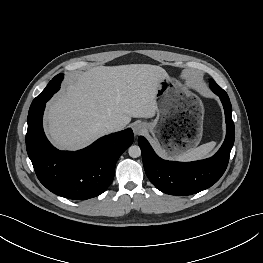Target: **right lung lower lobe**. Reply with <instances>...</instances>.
I'll return each mask as SVG.
<instances>
[{"label":"right lung lower lobe","instance_id":"obj_1","mask_svg":"<svg viewBox=\"0 0 263 263\" xmlns=\"http://www.w3.org/2000/svg\"><path fill=\"white\" fill-rule=\"evenodd\" d=\"M51 95L29 110L26 148L40 182L59 196L85 200L103 193L114 178L115 165L133 143L132 130L104 136L85 149L68 152L53 147L42 126L43 112Z\"/></svg>","mask_w":263,"mask_h":263}]
</instances>
